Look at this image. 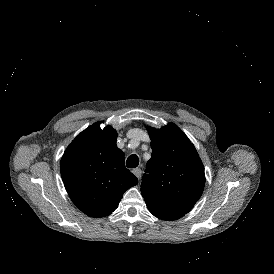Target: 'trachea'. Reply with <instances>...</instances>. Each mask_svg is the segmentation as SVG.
<instances>
[{
  "instance_id": "trachea-1",
  "label": "trachea",
  "mask_w": 274,
  "mask_h": 274,
  "mask_svg": "<svg viewBox=\"0 0 274 274\" xmlns=\"http://www.w3.org/2000/svg\"><path fill=\"white\" fill-rule=\"evenodd\" d=\"M138 164H139V159L137 155L132 154L131 156L128 157L127 163H126L128 168H135L138 166Z\"/></svg>"
}]
</instances>
